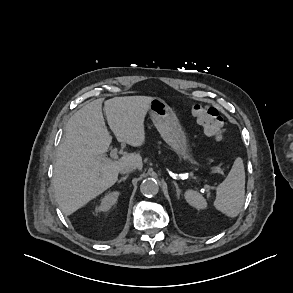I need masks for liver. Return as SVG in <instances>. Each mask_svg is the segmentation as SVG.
Listing matches in <instances>:
<instances>
[{"instance_id": "6515ba94", "label": "liver", "mask_w": 293, "mask_h": 293, "mask_svg": "<svg viewBox=\"0 0 293 293\" xmlns=\"http://www.w3.org/2000/svg\"><path fill=\"white\" fill-rule=\"evenodd\" d=\"M152 97H114L104 102L107 122L119 142L138 147L145 142L144 120ZM112 137L102 113V100L84 105L68 120L65 140L56 152L53 185L56 201L65 215H71L113 186L125 164L143 167L142 157L124 154L119 160L103 163Z\"/></svg>"}]
</instances>
